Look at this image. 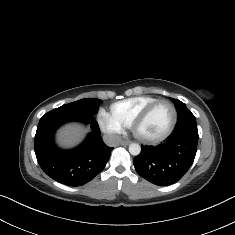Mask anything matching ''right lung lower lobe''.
<instances>
[{"label": "right lung lower lobe", "mask_w": 235, "mask_h": 235, "mask_svg": "<svg viewBox=\"0 0 235 235\" xmlns=\"http://www.w3.org/2000/svg\"><path fill=\"white\" fill-rule=\"evenodd\" d=\"M70 121L90 124L92 132L77 148L62 150L54 143V133L59 126ZM100 134L93 115H66L54 109L40 119L37 127L35 135L37 161L52 179L69 186L84 185L104 169L113 149L103 142Z\"/></svg>", "instance_id": "98d812e1"}]
</instances>
